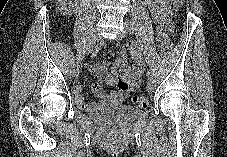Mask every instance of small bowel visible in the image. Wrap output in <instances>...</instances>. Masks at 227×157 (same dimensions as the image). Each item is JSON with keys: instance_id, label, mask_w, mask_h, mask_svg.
Listing matches in <instances>:
<instances>
[{"instance_id": "1", "label": "small bowel", "mask_w": 227, "mask_h": 157, "mask_svg": "<svg viewBox=\"0 0 227 157\" xmlns=\"http://www.w3.org/2000/svg\"><path fill=\"white\" fill-rule=\"evenodd\" d=\"M146 2L154 22L159 26L169 27L172 13L169 0H146ZM127 52L130 53L133 61L131 69L127 64ZM108 68V62H89L84 65L83 70L95 77L92 91L99 98V101L87 102L82 95V88L78 85L74 86L75 101L83 111L93 112L111 104H118L138 87L144 72V62L138 46L133 42L129 43L127 49L118 55L112 73L109 75H107ZM104 85L113 86L116 90L107 94L104 91Z\"/></svg>"}]
</instances>
